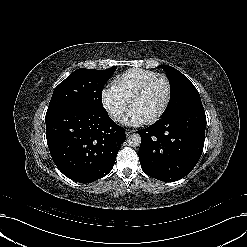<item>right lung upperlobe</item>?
<instances>
[{"label": "right lung upper lobe", "mask_w": 247, "mask_h": 247, "mask_svg": "<svg viewBox=\"0 0 247 247\" xmlns=\"http://www.w3.org/2000/svg\"><path fill=\"white\" fill-rule=\"evenodd\" d=\"M114 68H116L115 66H113V67H111V68H109V69H114Z\"/></svg>", "instance_id": "1"}]
</instances>
